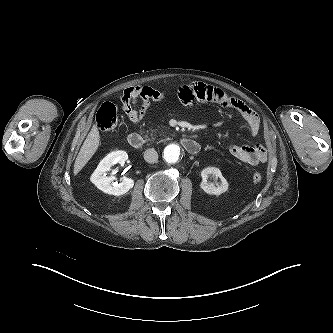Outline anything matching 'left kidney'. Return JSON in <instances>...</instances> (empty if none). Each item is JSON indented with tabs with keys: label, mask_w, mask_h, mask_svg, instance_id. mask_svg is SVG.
Masks as SVG:
<instances>
[{
	"label": "left kidney",
	"mask_w": 333,
	"mask_h": 333,
	"mask_svg": "<svg viewBox=\"0 0 333 333\" xmlns=\"http://www.w3.org/2000/svg\"><path fill=\"white\" fill-rule=\"evenodd\" d=\"M202 182L200 184L201 189L210 195H220L228 190V182L222 176L221 171L216 167H207L201 172ZM213 177L215 179H220V184L216 187L212 183H208V177Z\"/></svg>",
	"instance_id": "1"
}]
</instances>
